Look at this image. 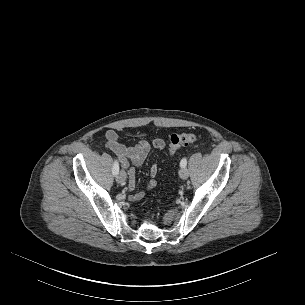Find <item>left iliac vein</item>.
<instances>
[{"instance_id": "1", "label": "left iliac vein", "mask_w": 305, "mask_h": 305, "mask_svg": "<svg viewBox=\"0 0 305 305\" xmlns=\"http://www.w3.org/2000/svg\"><path fill=\"white\" fill-rule=\"evenodd\" d=\"M188 170L186 167H182L179 171V176L182 178V179H187L188 178Z\"/></svg>"}]
</instances>
